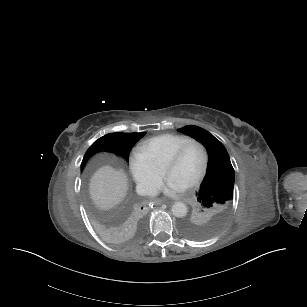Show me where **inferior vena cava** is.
Wrapping results in <instances>:
<instances>
[{"instance_id":"obj_1","label":"inferior vena cava","mask_w":307,"mask_h":307,"mask_svg":"<svg viewBox=\"0 0 307 307\" xmlns=\"http://www.w3.org/2000/svg\"><path fill=\"white\" fill-rule=\"evenodd\" d=\"M136 192L141 196H155L157 194V188L151 185L138 184L136 186Z\"/></svg>"}]
</instances>
